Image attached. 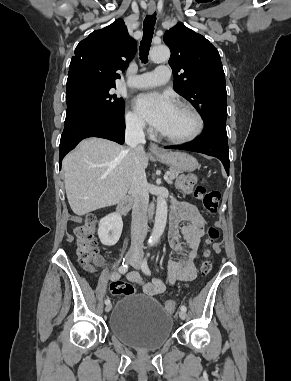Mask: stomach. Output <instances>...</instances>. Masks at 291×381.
<instances>
[{
  "mask_svg": "<svg viewBox=\"0 0 291 381\" xmlns=\"http://www.w3.org/2000/svg\"><path fill=\"white\" fill-rule=\"evenodd\" d=\"M157 160L167 164L178 171H194L198 167V161L185 152H164L156 155Z\"/></svg>",
  "mask_w": 291,
  "mask_h": 381,
  "instance_id": "0dacf381",
  "label": "stomach"
}]
</instances>
